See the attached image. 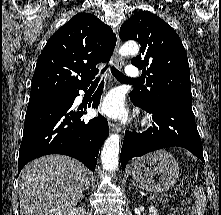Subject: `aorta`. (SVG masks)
Returning a JSON list of instances; mask_svg holds the SVG:
<instances>
[{
    "label": "aorta",
    "mask_w": 221,
    "mask_h": 215,
    "mask_svg": "<svg viewBox=\"0 0 221 215\" xmlns=\"http://www.w3.org/2000/svg\"><path fill=\"white\" fill-rule=\"evenodd\" d=\"M138 52L139 46L136 42H127L118 51L121 56L136 55ZM119 145L120 136L118 134L110 135L104 143L101 161L103 169L107 172H114L118 169Z\"/></svg>",
    "instance_id": "762f6f07"
}]
</instances>
